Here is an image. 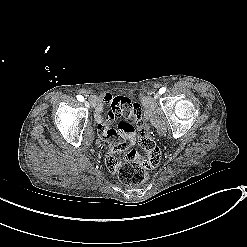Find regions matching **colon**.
I'll return each instance as SVG.
<instances>
[{"label":"colon","instance_id":"1","mask_svg":"<svg viewBox=\"0 0 247 247\" xmlns=\"http://www.w3.org/2000/svg\"><path fill=\"white\" fill-rule=\"evenodd\" d=\"M137 125L140 133L139 146L125 155L116 172L119 180L127 186L145 183L149 179L151 169L155 168L161 159L160 149L145 129L142 115Z\"/></svg>","mask_w":247,"mask_h":247}]
</instances>
